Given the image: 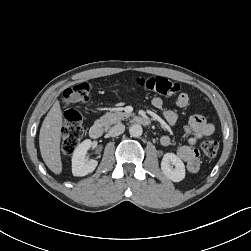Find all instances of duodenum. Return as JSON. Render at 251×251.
Wrapping results in <instances>:
<instances>
[{
    "instance_id": "1",
    "label": "duodenum",
    "mask_w": 251,
    "mask_h": 251,
    "mask_svg": "<svg viewBox=\"0 0 251 251\" xmlns=\"http://www.w3.org/2000/svg\"><path fill=\"white\" fill-rule=\"evenodd\" d=\"M134 121L140 125H150L151 119L147 116H135ZM103 134V127L101 125H93L89 129V136L92 139H99Z\"/></svg>"
}]
</instances>
